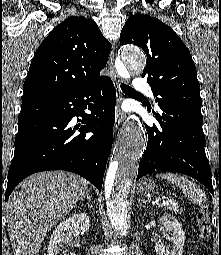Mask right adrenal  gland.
I'll return each instance as SVG.
<instances>
[{
  "instance_id": "obj_1",
  "label": "right adrenal gland",
  "mask_w": 221,
  "mask_h": 255,
  "mask_svg": "<svg viewBox=\"0 0 221 255\" xmlns=\"http://www.w3.org/2000/svg\"><path fill=\"white\" fill-rule=\"evenodd\" d=\"M88 200V202L90 203V207H92V205H91V197H90V195H89V190H87V192H86V194H85V196H83V198H81V202L82 201H84V200Z\"/></svg>"
}]
</instances>
